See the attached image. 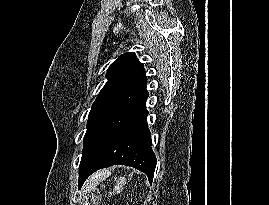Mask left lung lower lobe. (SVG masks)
I'll list each match as a JSON object with an SVG mask.
<instances>
[{"mask_svg":"<svg viewBox=\"0 0 269 205\" xmlns=\"http://www.w3.org/2000/svg\"><path fill=\"white\" fill-rule=\"evenodd\" d=\"M145 90L127 107L104 123L85 146L79 167V188L95 171L122 164L144 172L152 182L156 157L151 148Z\"/></svg>","mask_w":269,"mask_h":205,"instance_id":"obj_1","label":"left lung lower lobe"}]
</instances>
